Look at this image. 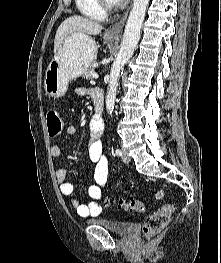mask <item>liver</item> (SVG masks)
<instances>
[{
    "label": "liver",
    "instance_id": "1",
    "mask_svg": "<svg viewBox=\"0 0 221 263\" xmlns=\"http://www.w3.org/2000/svg\"><path fill=\"white\" fill-rule=\"evenodd\" d=\"M102 30L103 27L95 21L78 15L70 16L61 23L56 31L54 52L56 54L64 39L72 34L98 35Z\"/></svg>",
    "mask_w": 221,
    "mask_h": 263
}]
</instances>
